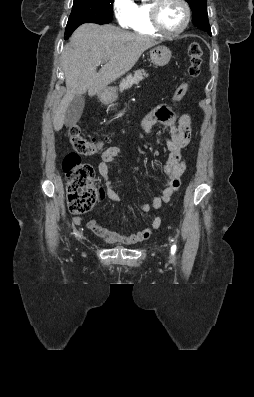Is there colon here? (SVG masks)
I'll return each instance as SVG.
<instances>
[{
    "label": "colon",
    "instance_id": "1",
    "mask_svg": "<svg viewBox=\"0 0 254 397\" xmlns=\"http://www.w3.org/2000/svg\"><path fill=\"white\" fill-rule=\"evenodd\" d=\"M188 58V75L191 79H196L201 73L202 64V48L198 43L194 42L189 45ZM188 87V83H182L177 87L172 97L174 103L184 98ZM68 135L74 151L66 155L63 161L67 204L72 214L82 215L90 211L100 198V188L95 181L94 169L82 156L96 154L102 148L103 142L86 138L77 124L69 128Z\"/></svg>",
    "mask_w": 254,
    "mask_h": 397
}]
</instances>
